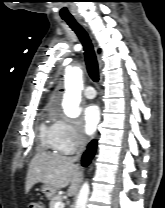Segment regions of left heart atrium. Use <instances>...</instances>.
<instances>
[{
  "label": "left heart atrium",
  "mask_w": 165,
  "mask_h": 208,
  "mask_svg": "<svg viewBox=\"0 0 165 208\" xmlns=\"http://www.w3.org/2000/svg\"><path fill=\"white\" fill-rule=\"evenodd\" d=\"M100 122V110L96 105H89L83 110V129L86 134H92Z\"/></svg>",
  "instance_id": "39dd6f15"
}]
</instances>
